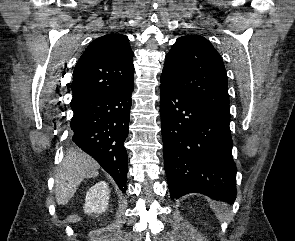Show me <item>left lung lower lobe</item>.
<instances>
[{"instance_id":"left-lung-lower-lobe-1","label":"left lung lower lobe","mask_w":295,"mask_h":241,"mask_svg":"<svg viewBox=\"0 0 295 241\" xmlns=\"http://www.w3.org/2000/svg\"><path fill=\"white\" fill-rule=\"evenodd\" d=\"M164 166L172 199L196 192L232 203L236 166L230 116L201 103L161 76Z\"/></svg>"}]
</instances>
